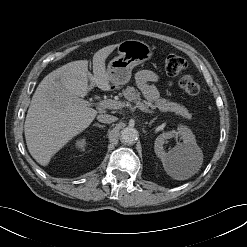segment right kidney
<instances>
[{
  "label": "right kidney",
  "instance_id": "ca27d5eb",
  "mask_svg": "<svg viewBox=\"0 0 247 247\" xmlns=\"http://www.w3.org/2000/svg\"><path fill=\"white\" fill-rule=\"evenodd\" d=\"M88 145V142L85 138H79L75 142V148L78 150H85V147Z\"/></svg>",
  "mask_w": 247,
  "mask_h": 247
}]
</instances>
